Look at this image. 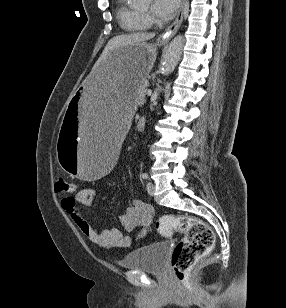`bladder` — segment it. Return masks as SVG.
<instances>
[{"mask_svg":"<svg viewBox=\"0 0 286 308\" xmlns=\"http://www.w3.org/2000/svg\"><path fill=\"white\" fill-rule=\"evenodd\" d=\"M167 243H150L127 253L120 261L123 269L162 274L166 267Z\"/></svg>","mask_w":286,"mask_h":308,"instance_id":"31cf9c89","label":"bladder"}]
</instances>
